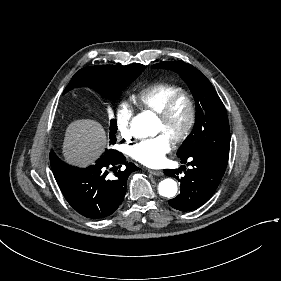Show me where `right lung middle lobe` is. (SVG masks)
<instances>
[{
    "label": "right lung middle lobe",
    "mask_w": 281,
    "mask_h": 281,
    "mask_svg": "<svg viewBox=\"0 0 281 281\" xmlns=\"http://www.w3.org/2000/svg\"><path fill=\"white\" fill-rule=\"evenodd\" d=\"M145 68L146 66L144 65L133 64V66L129 70V77L125 80L114 84H102L97 81H92L89 83V86L100 93L103 97L113 100L119 97L122 90L135 78H137ZM50 162L52 167L73 168L58 159L53 152L50 153Z\"/></svg>",
    "instance_id": "dd1d6c3e"
}]
</instances>
